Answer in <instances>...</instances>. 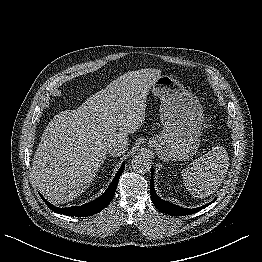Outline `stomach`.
Here are the masks:
<instances>
[{
  "mask_svg": "<svg viewBox=\"0 0 262 262\" xmlns=\"http://www.w3.org/2000/svg\"><path fill=\"white\" fill-rule=\"evenodd\" d=\"M152 92L161 100L160 119L163 131L149 144L163 161H184L191 158L200 144L204 121L198 99L169 75L160 76Z\"/></svg>",
  "mask_w": 262,
  "mask_h": 262,
  "instance_id": "stomach-1",
  "label": "stomach"
}]
</instances>
